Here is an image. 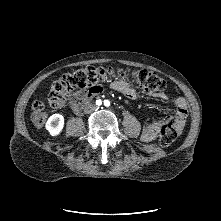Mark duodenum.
I'll list each match as a JSON object with an SVG mask.
<instances>
[{
    "label": "duodenum",
    "mask_w": 221,
    "mask_h": 221,
    "mask_svg": "<svg viewBox=\"0 0 221 221\" xmlns=\"http://www.w3.org/2000/svg\"><path fill=\"white\" fill-rule=\"evenodd\" d=\"M92 97H93V96L88 95V96H86L85 98H83V99L81 100V102L79 103V108L82 109V108L92 99Z\"/></svg>",
    "instance_id": "duodenum-1"
}]
</instances>
